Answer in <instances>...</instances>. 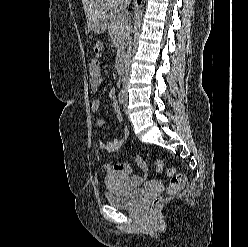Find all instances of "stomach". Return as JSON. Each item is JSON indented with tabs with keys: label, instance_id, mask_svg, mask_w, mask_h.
<instances>
[{
	"label": "stomach",
	"instance_id": "stomach-1",
	"mask_svg": "<svg viewBox=\"0 0 248 247\" xmlns=\"http://www.w3.org/2000/svg\"><path fill=\"white\" fill-rule=\"evenodd\" d=\"M107 25H108V16L107 14H105L98 20V22L95 24L92 30L96 34H101L105 32Z\"/></svg>",
	"mask_w": 248,
	"mask_h": 247
}]
</instances>
